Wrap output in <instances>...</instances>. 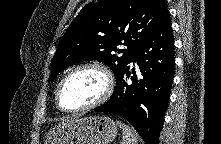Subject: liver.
I'll return each mask as SVG.
<instances>
[{"mask_svg":"<svg viewBox=\"0 0 221 144\" xmlns=\"http://www.w3.org/2000/svg\"><path fill=\"white\" fill-rule=\"evenodd\" d=\"M77 117L71 118V119H67L65 121H62L61 123H58L57 125H55L54 130H59L63 127H65L66 125H68L71 121H73L74 119H76ZM53 130V132H54ZM53 132H49L48 135H51ZM47 135V136H48Z\"/></svg>","mask_w":221,"mask_h":144,"instance_id":"liver-1","label":"liver"}]
</instances>
